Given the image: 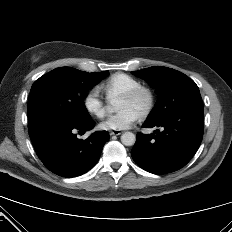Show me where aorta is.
Returning a JSON list of instances; mask_svg holds the SVG:
<instances>
[{"mask_svg":"<svg viewBox=\"0 0 232 232\" xmlns=\"http://www.w3.org/2000/svg\"><path fill=\"white\" fill-rule=\"evenodd\" d=\"M110 112L113 111L112 108L108 109ZM136 136L132 132H125L121 135V142L125 146H132L135 144Z\"/></svg>","mask_w":232,"mask_h":232,"instance_id":"762f6f07","label":"aorta"}]
</instances>
